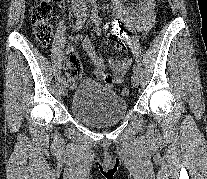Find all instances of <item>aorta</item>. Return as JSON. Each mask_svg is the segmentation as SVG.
Returning <instances> with one entry per match:
<instances>
[{
  "label": "aorta",
  "instance_id": "1",
  "mask_svg": "<svg viewBox=\"0 0 207 179\" xmlns=\"http://www.w3.org/2000/svg\"><path fill=\"white\" fill-rule=\"evenodd\" d=\"M90 1L93 2V3L96 2V0H90Z\"/></svg>",
  "mask_w": 207,
  "mask_h": 179
}]
</instances>
